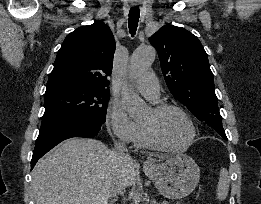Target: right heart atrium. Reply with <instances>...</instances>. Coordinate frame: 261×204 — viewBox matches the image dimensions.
Here are the masks:
<instances>
[{"label": "right heart atrium", "instance_id": "1", "mask_svg": "<svg viewBox=\"0 0 261 204\" xmlns=\"http://www.w3.org/2000/svg\"><path fill=\"white\" fill-rule=\"evenodd\" d=\"M105 125L110 136L123 143L132 144L137 136V123L126 113L123 105L116 100L108 104Z\"/></svg>", "mask_w": 261, "mask_h": 204}]
</instances>
